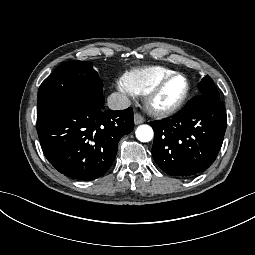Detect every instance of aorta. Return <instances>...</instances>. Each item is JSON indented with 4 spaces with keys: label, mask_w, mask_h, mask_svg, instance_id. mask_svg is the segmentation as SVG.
Masks as SVG:
<instances>
[{
    "label": "aorta",
    "mask_w": 255,
    "mask_h": 255,
    "mask_svg": "<svg viewBox=\"0 0 255 255\" xmlns=\"http://www.w3.org/2000/svg\"><path fill=\"white\" fill-rule=\"evenodd\" d=\"M136 137L141 142H149L153 138V130L148 125H140L136 129Z\"/></svg>",
    "instance_id": "762f6f07"
}]
</instances>
